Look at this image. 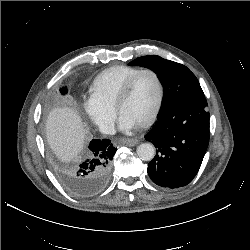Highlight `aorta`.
I'll return each instance as SVG.
<instances>
[{
  "label": "aorta",
  "mask_w": 250,
  "mask_h": 250,
  "mask_svg": "<svg viewBox=\"0 0 250 250\" xmlns=\"http://www.w3.org/2000/svg\"><path fill=\"white\" fill-rule=\"evenodd\" d=\"M137 155L143 161H150L155 156V147L151 143H142L137 147Z\"/></svg>",
  "instance_id": "1"
}]
</instances>
